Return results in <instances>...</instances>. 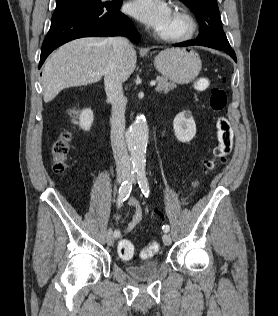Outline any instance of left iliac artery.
<instances>
[{
	"label": "left iliac artery",
	"instance_id": "obj_1",
	"mask_svg": "<svg viewBox=\"0 0 278 316\" xmlns=\"http://www.w3.org/2000/svg\"><path fill=\"white\" fill-rule=\"evenodd\" d=\"M137 180L142 193L145 197H148L150 194V187L148 179L146 177L145 169L143 167H139L137 169ZM162 229L165 233H167L169 232L170 227L169 225L165 224L162 226Z\"/></svg>",
	"mask_w": 278,
	"mask_h": 316
}]
</instances>
